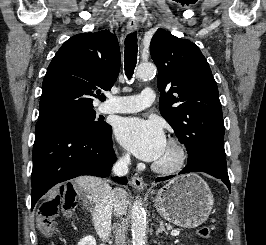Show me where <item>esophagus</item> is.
Here are the masks:
<instances>
[{
	"label": "esophagus",
	"mask_w": 266,
	"mask_h": 245,
	"mask_svg": "<svg viewBox=\"0 0 266 245\" xmlns=\"http://www.w3.org/2000/svg\"><path fill=\"white\" fill-rule=\"evenodd\" d=\"M137 27H138V21L136 20V18H130L127 22L128 32H135L137 30ZM131 184L135 189L139 191H142L144 189V180L142 179V177H139L138 175H134L131 178Z\"/></svg>",
	"instance_id": "34e87169"
}]
</instances>
